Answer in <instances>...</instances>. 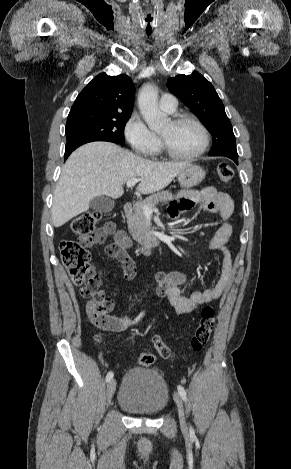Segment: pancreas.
I'll return each instance as SVG.
<instances>
[{
    "instance_id": "obj_1",
    "label": "pancreas",
    "mask_w": 291,
    "mask_h": 469,
    "mask_svg": "<svg viewBox=\"0 0 291 469\" xmlns=\"http://www.w3.org/2000/svg\"><path fill=\"white\" fill-rule=\"evenodd\" d=\"M173 200V195L169 191H161L153 194L134 206L133 214L127 217L128 229L132 237L141 245L151 246L156 239L151 231V226L143 212V206L154 208L158 203H167Z\"/></svg>"
}]
</instances>
